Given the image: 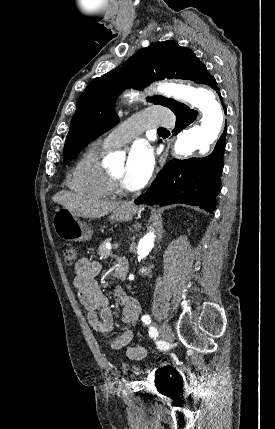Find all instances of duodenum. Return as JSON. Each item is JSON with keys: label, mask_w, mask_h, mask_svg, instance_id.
<instances>
[{"label": "duodenum", "mask_w": 275, "mask_h": 429, "mask_svg": "<svg viewBox=\"0 0 275 429\" xmlns=\"http://www.w3.org/2000/svg\"><path fill=\"white\" fill-rule=\"evenodd\" d=\"M128 270V263L126 260H120L116 266V273L121 280H124Z\"/></svg>", "instance_id": "1"}]
</instances>
